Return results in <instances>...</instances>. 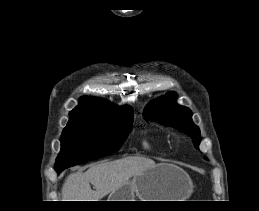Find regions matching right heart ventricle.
Here are the masks:
<instances>
[{
	"label": "right heart ventricle",
	"instance_id": "e07e8e85",
	"mask_svg": "<svg viewBox=\"0 0 259 211\" xmlns=\"http://www.w3.org/2000/svg\"><path fill=\"white\" fill-rule=\"evenodd\" d=\"M158 143L154 142V141H151V140H145L143 142V146L148 149V150H152L156 147Z\"/></svg>",
	"mask_w": 259,
	"mask_h": 211
}]
</instances>
